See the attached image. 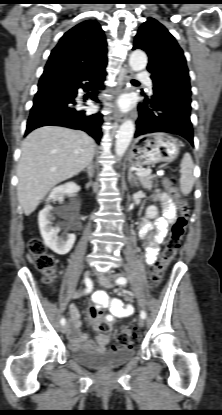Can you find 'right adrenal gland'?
I'll use <instances>...</instances> for the list:
<instances>
[{"label":"right adrenal gland","instance_id":"obj_1","mask_svg":"<svg viewBox=\"0 0 222 415\" xmlns=\"http://www.w3.org/2000/svg\"><path fill=\"white\" fill-rule=\"evenodd\" d=\"M83 171H86L88 176L90 178H92L94 176V165L92 163H90L86 169H84Z\"/></svg>","mask_w":222,"mask_h":415}]
</instances>
